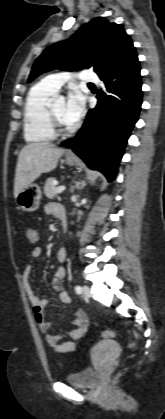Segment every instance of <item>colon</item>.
Returning a JSON list of instances; mask_svg holds the SVG:
<instances>
[{
  "instance_id": "1",
  "label": "colon",
  "mask_w": 165,
  "mask_h": 419,
  "mask_svg": "<svg viewBox=\"0 0 165 419\" xmlns=\"http://www.w3.org/2000/svg\"><path fill=\"white\" fill-rule=\"evenodd\" d=\"M31 236L34 237L35 236L34 233H31ZM113 335H114V333L112 331L106 330V331L102 332L101 337L103 339H109V338H112ZM129 347L130 348H134L135 347V344L133 342H131L129 344Z\"/></svg>"
}]
</instances>
